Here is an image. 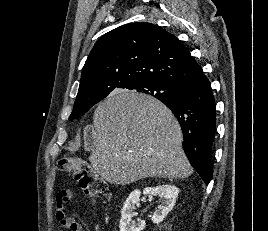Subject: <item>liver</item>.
Returning a JSON list of instances; mask_svg holds the SVG:
<instances>
[{
	"label": "liver",
	"mask_w": 268,
	"mask_h": 231,
	"mask_svg": "<svg viewBox=\"0 0 268 231\" xmlns=\"http://www.w3.org/2000/svg\"><path fill=\"white\" fill-rule=\"evenodd\" d=\"M86 140L94 144L89 157L93 169L111 184L147 177L183 179L193 172L173 113L142 93L120 90L99 103Z\"/></svg>",
	"instance_id": "6515ba94"
}]
</instances>
